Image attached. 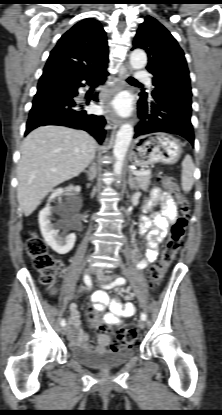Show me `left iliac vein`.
<instances>
[{
  "instance_id": "4c4485c4",
  "label": "left iliac vein",
  "mask_w": 222,
  "mask_h": 415,
  "mask_svg": "<svg viewBox=\"0 0 222 415\" xmlns=\"http://www.w3.org/2000/svg\"><path fill=\"white\" fill-rule=\"evenodd\" d=\"M95 274H96V276H97V278H98V280L100 281V282H102V283H108L109 281H111V279H112V277L111 276H107V275H105L104 273H103V271L102 270H100V269H95V272H94ZM138 326H139V328H141V329H143V328H145V321L144 320H139V322H138Z\"/></svg>"
}]
</instances>
